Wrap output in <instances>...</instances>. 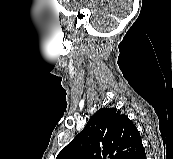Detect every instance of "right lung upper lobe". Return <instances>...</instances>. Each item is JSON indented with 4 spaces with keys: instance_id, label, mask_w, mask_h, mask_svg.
I'll return each instance as SVG.
<instances>
[{
    "instance_id": "obj_1",
    "label": "right lung upper lobe",
    "mask_w": 173,
    "mask_h": 159,
    "mask_svg": "<svg viewBox=\"0 0 173 159\" xmlns=\"http://www.w3.org/2000/svg\"><path fill=\"white\" fill-rule=\"evenodd\" d=\"M144 147L129 118L116 108L98 110L56 159H133Z\"/></svg>"
}]
</instances>
